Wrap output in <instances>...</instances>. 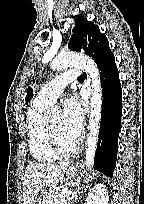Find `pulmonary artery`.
<instances>
[{"label": "pulmonary artery", "instance_id": "obj_1", "mask_svg": "<svg viewBox=\"0 0 144 204\" xmlns=\"http://www.w3.org/2000/svg\"><path fill=\"white\" fill-rule=\"evenodd\" d=\"M79 75L80 71L71 70L56 76L39 91L36 101L47 106L52 105L63 93L66 85L75 80Z\"/></svg>", "mask_w": 144, "mask_h": 204}]
</instances>
